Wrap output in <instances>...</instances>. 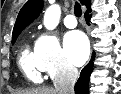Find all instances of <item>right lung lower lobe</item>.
Masks as SVG:
<instances>
[{
    "mask_svg": "<svg viewBox=\"0 0 121 94\" xmlns=\"http://www.w3.org/2000/svg\"><path fill=\"white\" fill-rule=\"evenodd\" d=\"M90 12H91V8L88 9L85 13V19L87 24L90 23V19L92 16L91 14H89ZM94 58H95V53L92 54L90 62L82 69L80 77L75 85L76 94H88V82H89L90 75L93 71Z\"/></svg>",
    "mask_w": 121,
    "mask_h": 94,
    "instance_id": "98d812e1",
    "label": "right lung lower lobe"
}]
</instances>
